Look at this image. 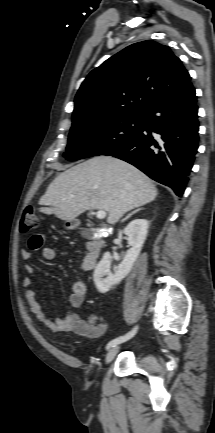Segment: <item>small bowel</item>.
<instances>
[{"label":"small bowel","instance_id":"small-bowel-1","mask_svg":"<svg viewBox=\"0 0 215 433\" xmlns=\"http://www.w3.org/2000/svg\"><path fill=\"white\" fill-rule=\"evenodd\" d=\"M45 238L43 235H33L28 240L27 248L21 251L23 260H30L32 252L42 249V256L46 261H54L56 259L55 251L48 247H43ZM96 261L86 254L82 260V269L91 270L95 266ZM24 271L27 276L23 279L24 296L29 305V309L36 319L53 332H74L77 335L87 338H99L106 330L105 323L97 325L89 324L84 321L79 314L73 312L66 316L51 319L43 310L41 304L36 299V293L32 284L30 275L33 274V267L30 264L24 265ZM86 298V284L83 281H75L72 283L71 291L68 295L69 305L73 308H79L83 305Z\"/></svg>","mask_w":215,"mask_h":433}]
</instances>
